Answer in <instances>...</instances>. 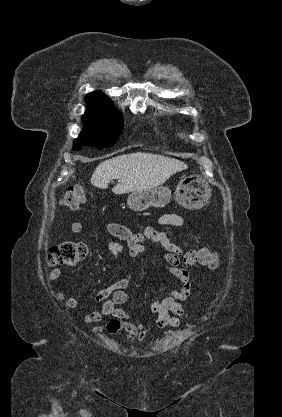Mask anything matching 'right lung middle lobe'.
<instances>
[{"label":"right lung middle lobe","instance_id":"right-lung-middle-lobe-1","mask_svg":"<svg viewBox=\"0 0 282 417\" xmlns=\"http://www.w3.org/2000/svg\"><path fill=\"white\" fill-rule=\"evenodd\" d=\"M87 109L82 116L84 128L73 146L95 144L98 148L110 147L117 142L123 129L121 112L116 110L110 99L86 100Z\"/></svg>","mask_w":282,"mask_h":417}]
</instances>
